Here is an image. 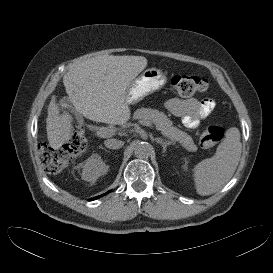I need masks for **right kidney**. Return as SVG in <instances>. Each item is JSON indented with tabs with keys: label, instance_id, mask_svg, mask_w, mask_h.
<instances>
[{
	"label": "right kidney",
	"instance_id": "ca27d5eb",
	"mask_svg": "<svg viewBox=\"0 0 273 273\" xmlns=\"http://www.w3.org/2000/svg\"><path fill=\"white\" fill-rule=\"evenodd\" d=\"M107 166L99 155H92L83 165L82 179L88 182H95L101 175L105 174Z\"/></svg>",
	"mask_w": 273,
	"mask_h": 273
}]
</instances>
